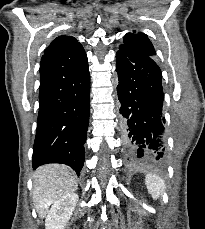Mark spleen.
Listing matches in <instances>:
<instances>
[{
	"label": "spleen",
	"mask_w": 205,
	"mask_h": 229,
	"mask_svg": "<svg viewBox=\"0 0 205 229\" xmlns=\"http://www.w3.org/2000/svg\"><path fill=\"white\" fill-rule=\"evenodd\" d=\"M145 184L153 199H158L165 190L164 181L155 174L147 175L145 177Z\"/></svg>",
	"instance_id": "3e777b00"
}]
</instances>
